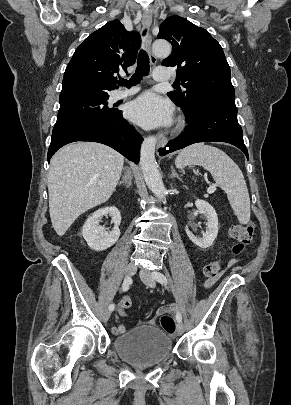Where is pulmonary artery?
Returning a JSON list of instances; mask_svg holds the SVG:
<instances>
[{
	"label": "pulmonary artery",
	"instance_id": "1",
	"mask_svg": "<svg viewBox=\"0 0 291 405\" xmlns=\"http://www.w3.org/2000/svg\"><path fill=\"white\" fill-rule=\"evenodd\" d=\"M154 80L159 81V82H163V81H168L172 79V74L171 72L166 69V68H157L154 71ZM139 88L138 87H132L130 89H125V90H119L116 91L113 95H112V99L114 101L123 99L125 97L131 96L133 94H135L136 92H138Z\"/></svg>",
	"mask_w": 291,
	"mask_h": 405
}]
</instances>
